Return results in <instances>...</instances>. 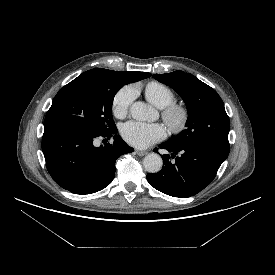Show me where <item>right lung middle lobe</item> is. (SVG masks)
Returning a JSON list of instances; mask_svg holds the SVG:
<instances>
[{"label": "right lung middle lobe", "instance_id": "1", "mask_svg": "<svg viewBox=\"0 0 275 275\" xmlns=\"http://www.w3.org/2000/svg\"><path fill=\"white\" fill-rule=\"evenodd\" d=\"M123 86L112 76L77 77L55 96L45 117L44 131L72 129L102 135L114 130L112 103Z\"/></svg>", "mask_w": 275, "mask_h": 275}]
</instances>
